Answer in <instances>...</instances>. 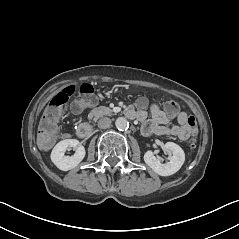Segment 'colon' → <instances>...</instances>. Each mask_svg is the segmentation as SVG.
Segmentation results:
<instances>
[{
	"instance_id": "colon-1",
	"label": "colon",
	"mask_w": 239,
	"mask_h": 239,
	"mask_svg": "<svg viewBox=\"0 0 239 239\" xmlns=\"http://www.w3.org/2000/svg\"><path fill=\"white\" fill-rule=\"evenodd\" d=\"M74 86H68L62 89L59 93L52 97L46 107L40 122L39 139L43 145H48L56 132L57 122L61 115L64 106L69 101L70 97L75 93ZM95 103L94 89L89 84H82L78 89V96L73 104V109L77 112L92 106ZM165 111L170 116H175L179 111V105L169 100L165 103ZM187 124L192 130V138L189 140V145L193 148L196 145L194 134L196 132V120L193 116H189Z\"/></svg>"
}]
</instances>
